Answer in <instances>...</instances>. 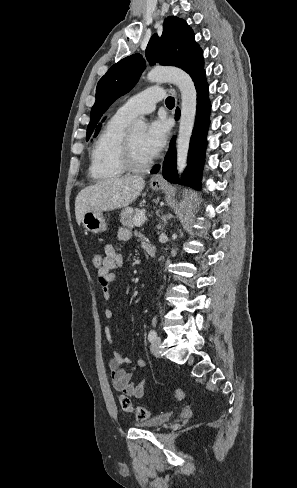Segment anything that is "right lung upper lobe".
<instances>
[{
    "instance_id": "cb5924a9",
    "label": "right lung upper lobe",
    "mask_w": 297,
    "mask_h": 488,
    "mask_svg": "<svg viewBox=\"0 0 297 488\" xmlns=\"http://www.w3.org/2000/svg\"><path fill=\"white\" fill-rule=\"evenodd\" d=\"M99 128H100V125L98 126V128H97V130H96V134H95V135H97V133H98V131H99Z\"/></svg>"
}]
</instances>
